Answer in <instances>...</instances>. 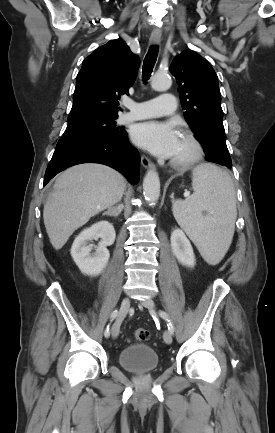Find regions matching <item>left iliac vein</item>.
Here are the masks:
<instances>
[{
    "label": "left iliac vein",
    "mask_w": 275,
    "mask_h": 433,
    "mask_svg": "<svg viewBox=\"0 0 275 433\" xmlns=\"http://www.w3.org/2000/svg\"><path fill=\"white\" fill-rule=\"evenodd\" d=\"M141 305H143L145 308H147L149 310H153L155 307L154 301L150 298L143 300L141 302ZM163 339H164L166 344H171L172 343V333L169 330L165 331V333L163 335Z\"/></svg>",
    "instance_id": "4c4485c4"
}]
</instances>
